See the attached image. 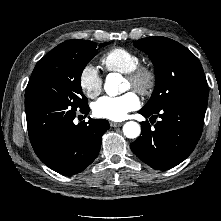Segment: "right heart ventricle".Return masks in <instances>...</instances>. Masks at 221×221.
<instances>
[{
	"label": "right heart ventricle",
	"instance_id": "obj_1",
	"mask_svg": "<svg viewBox=\"0 0 221 221\" xmlns=\"http://www.w3.org/2000/svg\"><path fill=\"white\" fill-rule=\"evenodd\" d=\"M140 62L137 53L124 47H114L101 57L103 67L111 72L127 74Z\"/></svg>",
	"mask_w": 221,
	"mask_h": 221
}]
</instances>
